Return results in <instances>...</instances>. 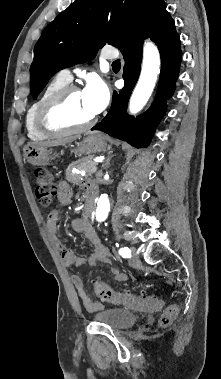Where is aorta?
I'll use <instances>...</instances> for the list:
<instances>
[{"mask_svg":"<svg viewBox=\"0 0 221 379\" xmlns=\"http://www.w3.org/2000/svg\"><path fill=\"white\" fill-rule=\"evenodd\" d=\"M160 72V54L157 47L146 41L143 48V62L137 85L129 101L131 114L139 112L147 103L155 87ZM110 203L107 194H102L97 203L96 219L102 222L107 219Z\"/></svg>","mask_w":221,"mask_h":379,"instance_id":"762f6f07","label":"aorta"}]
</instances>
